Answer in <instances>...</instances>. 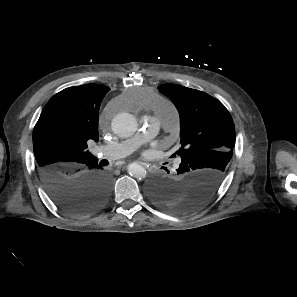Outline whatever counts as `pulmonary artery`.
<instances>
[{
  "mask_svg": "<svg viewBox=\"0 0 297 297\" xmlns=\"http://www.w3.org/2000/svg\"><path fill=\"white\" fill-rule=\"evenodd\" d=\"M178 114L170 103L162 105L155 116L144 118L137 134L127 140L110 145L98 146L96 153H102L109 159H119L133 153L142 143L154 137L160 128H169L177 120Z\"/></svg>",
  "mask_w": 297,
  "mask_h": 297,
  "instance_id": "pulmonary-artery-1",
  "label": "pulmonary artery"
}]
</instances>
